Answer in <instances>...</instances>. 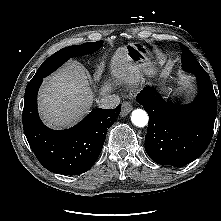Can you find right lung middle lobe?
<instances>
[{
    "label": "right lung middle lobe",
    "instance_id": "1",
    "mask_svg": "<svg viewBox=\"0 0 221 221\" xmlns=\"http://www.w3.org/2000/svg\"><path fill=\"white\" fill-rule=\"evenodd\" d=\"M102 44L103 41L88 42L81 45L68 46L57 51L46 61H44L31 80H36L48 76L71 57L93 53L97 51L102 46Z\"/></svg>",
    "mask_w": 221,
    "mask_h": 221
}]
</instances>
